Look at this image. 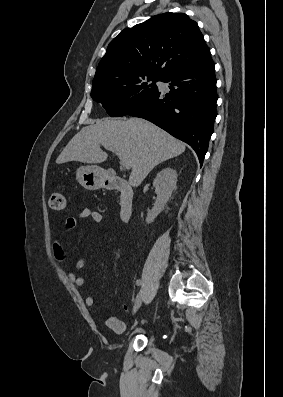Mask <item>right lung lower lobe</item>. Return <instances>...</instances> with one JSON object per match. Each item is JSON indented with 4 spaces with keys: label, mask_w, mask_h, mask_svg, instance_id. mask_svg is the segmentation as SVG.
<instances>
[{
    "label": "right lung lower lobe",
    "mask_w": 283,
    "mask_h": 397,
    "mask_svg": "<svg viewBox=\"0 0 283 397\" xmlns=\"http://www.w3.org/2000/svg\"><path fill=\"white\" fill-rule=\"evenodd\" d=\"M170 95L159 91L127 115L144 118L189 144L200 164L213 133L216 112L214 62L183 68L169 74Z\"/></svg>",
    "instance_id": "1"
}]
</instances>
